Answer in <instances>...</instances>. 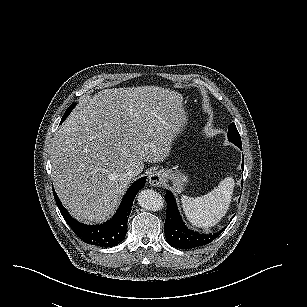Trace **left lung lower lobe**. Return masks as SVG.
Listing matches in <instances>:
<instances>
[{
    "mask_svg": "<svg viewBox=\"0 0 307 307\" xmlns=\"http://www.w3.org/2000/svg\"><path fill=\"white\" fill-rule=\"evenodd\" d=\"M242 168H244V160ZM165 199L167 201V211L164 232L167 242L175 248L192 249L204 246L217 238L226 228L214 234L193 232L183 224L176 201L170 191H166Z\"/></svg>",
    "mask_w": 307,
    "mask_h": 307,
    "instance_id": "0a47b994",
    "label": "left lung lower lobe"
}]
</instances>
